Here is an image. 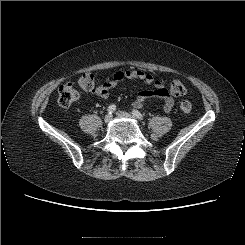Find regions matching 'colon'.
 Returning a JSON list of instances; mask_svg holds the SVG:
<instances>
[{
	"mask_svg": "<svg viewBox=\"0 0 245 245\" xmlns=\"http://www.w3.org/2000/svg\"><path fill=\"white\" fill-rule=\"evenodd\" d=\"M75 86L87 92H95L98 89L94 75L84 73L75 82H69L59 87L58 103L60 106L68 107L77 101L79 93ZM169 93L175 97L183 96L186 93V87L181 81H172L169 86ZM180 109L183 113L189 114L192 110V104L184 100L180 104Z\"/></svg>",
	"mask_w": 245,
	"mask_h": 245,
	"instance_id": "1",
	"label": "colon"
}]
</instances>
